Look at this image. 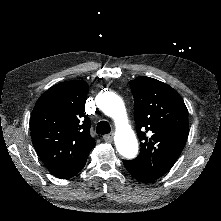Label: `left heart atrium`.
I'll use <instances>...</instances> for the list:
<instances>
[{
    "instance_id": "39dd6f15",
    "label": "left heart atrium",
    "mask_w": 221,
    "mask_h": 221,
    "mask_svg": "<svg viewBox=\"0 0 221 221\" xmlns=\"http://www.w3.org/2000/svg\"><path fill=\"white\" fill-rule=\"evenodd\" d=\"M143 173V172H142ZM93 174L95 176H99V177H105L108 176V173L103 171V170H98V171H93Z\"/></svg>"
}]
</instances>
